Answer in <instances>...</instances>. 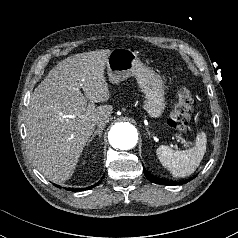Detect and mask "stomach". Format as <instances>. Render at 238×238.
Returning <instances> with one entry per match:
<instances>
[{
    "label": "stomach",
    "instance_id": "1",
    "mask_svg": "<svg viewBox=\"0 0 238 238\" xmlns=\"http://www.w3.org/2000/svg\"><path fill=\"white\" fill-rule=\"evenodd\" d=\"M109 81L118 84L130 76H135L146 100L144 109L152 118H158L166 108L164 81L161 76L146 67L131 49H113L106 62Z\"/></svg>",
    "mask_w": 238,
    "mask_h": 238
}]
</instances>
